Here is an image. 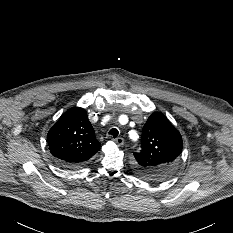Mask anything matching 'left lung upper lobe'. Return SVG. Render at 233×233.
I'll list each match as a JSON object with an SVG mask.
<instances>
[{
    "label": "left lung upper lobe",
    "instance_id": "obj_1",
    "mask_svg": "<svg viewBox=\"0 0 233 233\" xmlns=\"http://www.w3.org/2000/svg\"><path fill=\"white\" fill-rule=\"evenodd\" d=\"M183 142L178 130L162 114H151L141 137V151L134 152L137 173L144 179L159 181L172 174L182 152Z\"/></svg>",
    "mask_w": 233,
    "mask_h": 233
}]
</instances>
